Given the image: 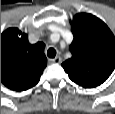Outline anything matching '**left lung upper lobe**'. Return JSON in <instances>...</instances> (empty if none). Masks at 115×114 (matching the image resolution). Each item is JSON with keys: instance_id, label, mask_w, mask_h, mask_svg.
I'll list each match as a JSON object with an SVG mask.
<instances>
[{"instance_id": "left-lung-upper-lobe-1", "label": "left lung upper lobe", "mask_w": 115, "mask_h": 114, "mask_svg": "<svg viewBox=\"0 0 115 114\" xmlns=\"http://www.w3.org/2000/svg\"><path fill=\"white\" fill-rule=\"evenodd\" d=\"M72 57L62 63L69 78L84 88L104 83L115 69V37L96 16L78 13L70 21Z\"/></svg>"}]
</instances>
